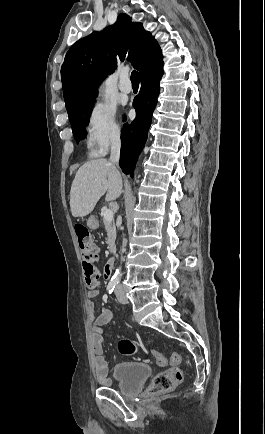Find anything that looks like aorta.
I'll list each match as a JSON object with an SVG mask.
<instances>
[{
    "mask_svg": "<svg viewBox=\"0 0 265 434\" xmlns=\"http://www.w3.org/2000/svg\"><path fill=\"white\" fill-rule=\"evenodd\" d=\"M120 276H121V274H120L119 270H116V272H115V274L113 276L114 282H119Z\"/></svg>",
    "mask_w": 265,
    "mask_h": 434,
    "instance_id": "1",
    "label": "aorta"
}]
</instances>
